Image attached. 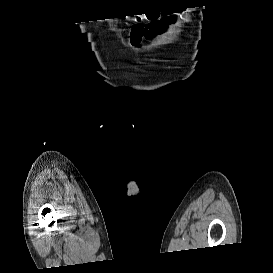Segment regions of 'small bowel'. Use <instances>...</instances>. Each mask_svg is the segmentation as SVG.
Here are the masks:
<instances>
[{
    "instance_id": "obj_1",
    "label": "small bowel",
    "mask_w": 273,
    "mask_h": 273,
    "mask_svg": "<svg viewBox=\"0 0 273 273\" xmlns=\"http://www.w3.org/2000/svg\"><path fill=\"white\" fill-rule=\"evenodd\" d=\"M176 21L177 19L175 16H170L163 20H156L151 22L147 28V39L153 40L158 34H161L165 31V27L167 25L174 24Z\"/></svg>"
}]
</instances>
